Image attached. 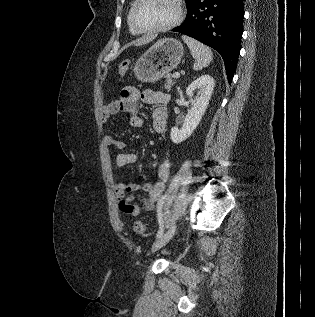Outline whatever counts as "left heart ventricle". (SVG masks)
Instances as JSON below:
<instances>
[{"mask_svg":"<svg viewBox=\"0 0 315 317\" xmlns=\"http://www.w3.org/2000/svg\"><path fill=\"white\" fill-rule=\"evenodd\" d=\"M176 15L174 0H142L135 13L141 28H152L169 23Z\"/></svg>","mask_w":315,"mask_h":317,"instance_id":"1","label":"left heart ventricle"}]
</instances>
